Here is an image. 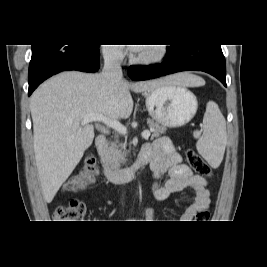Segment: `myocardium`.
Here are the masks:
<instances>
[{
  "mask_svg": "<svg viewBox=\"0 0 267 267\" xmlns=\"http://www.w3.org/2000/svg\"><path fill=\"white\" fill-rule=\"evenodd\" d=\"M155 52L152 54L142 55V54H136L131 57V60L134 63L141 64V65H151L155 64L157 62H160L164 59V57L167 54V47L163 44H158V46L155 47Z\"/></svg>",
  "mask_w": 267,
  "mask_h": 267,
  "instance_id": "obj_1",
  "label": "myocardium"
}]
</instances>
